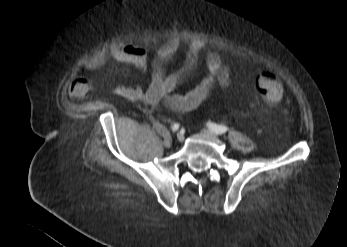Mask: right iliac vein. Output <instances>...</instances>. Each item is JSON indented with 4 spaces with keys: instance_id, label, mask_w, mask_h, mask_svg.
<instances>
[{
    "instance_id": "right-iliac-vein-1",
    "label": "right iliac vein",
    "mask_w": 347,
    "mask_h": 247,
    "mask_svg": "<svg viewBox=\"0 0 347 247\" xmlns=\"http://www.w3.org/2000/svg\"><path fill=\"white\" fill-rule=\"evenodd\" d=\"M177 140H178L179 142H182V141L184 140V135H183L182 133H178V134H177Z\"/></svg>"
}]
</instances>
